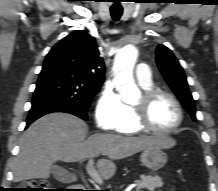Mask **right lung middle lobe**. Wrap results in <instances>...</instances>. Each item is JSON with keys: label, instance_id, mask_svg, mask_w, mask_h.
<instances>
[{"label": "right lung middle lobe", "instance_id": "right-lung-middle-lobe-1", "mask_svg": "<svg viewBox=\"0 0 218 191\" xmlns=\"http://www.w3.org/2000/svg\"><path fill=\"white\" fill-rule=\"evenodd\" d=\"M100 87L101 84L94 83L63 66L44 63L32 103L54 99L86 111Z\"/></svg>", "mask_w": 218, "mask_h": 191}]
</instances>
